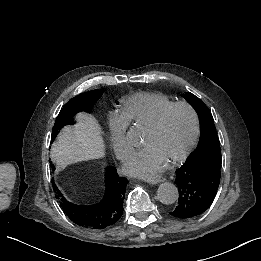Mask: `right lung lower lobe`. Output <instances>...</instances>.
Masks as SVG:
<instances>
[{
  "label": "right lung lower lobe",
  "mask_w": 261,
  "mask_h": 261,
  "mask_svg": "<svg viewBox=\"0 0 261 261\" xmlns=\"http://www.w3.org/2000/svg\"><path fill=\"white\" fill-rule=\"evenodd\" d=\"M105 198L89 206H79L68 201L53 182V189L65 214L75 224L87 229H104L115 224L123 213V199L128 180L119 177L114 167L106 169Z\"/></svg>",
  "instance_id": "98d812e1"
}]
</instances>
